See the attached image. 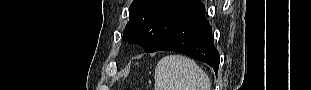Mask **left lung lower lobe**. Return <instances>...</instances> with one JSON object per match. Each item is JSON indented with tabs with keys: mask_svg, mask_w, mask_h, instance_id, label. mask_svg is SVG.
I'll use <instances>...</instances> for the list:
<instances>
[{
	"mask_svg": "<svg viewBox=\"0 0 311 90\" xmlns=\"http://www.w3.org/2000/svg\"><path fill=\"white\" fill-rule=\"evenodd\" d=\"M174 51L210 65L215 73L219 67V53L213 44L211 26L200 4L177 21L150 52Z\"/></svg>",
	"mask_w": 311,
	"mask_h": 90,
	"instance_id": "obj_1",
	"label": "left lung lower lobe"
}]
</instances>
